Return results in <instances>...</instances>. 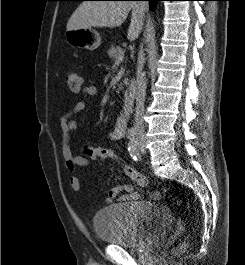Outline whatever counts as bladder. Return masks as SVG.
I'll list each match as a JSON object with an SVG mask.
<instances>
[{"mask_svg":"<svg viewBox=\"0 0 245 265\" xmlns=\"http://www.w3.org/2000/svg\"><path fill=\"white\" fill-rule=\"evenodd\" d=\"M170 223L171 217L164 207L146 200L110 204L92 220L101 241L133 249L162 236Z\"/></svg>","mask_w":245,"mask_h":265,"instance_id":"bladder-1","label":"bladder"}]
</instances>
